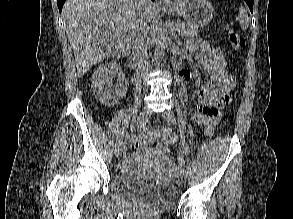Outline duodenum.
<instances>
[{"mask_svg":"<svg viewBox=\"0 0 293 219\" xmlns=\"http://www.w3.org/2000/svg\"><path fill=\"white\" fill-rule=\"evenodd\" d=\"M129 66L132 68H137V66H138V55L136 52H133L132 55L130 56ZM177 71H178V77H179L181 71H179L178 69H177Z\"/></svg>","mask_w":293,"mask_h":219,"instance_id":"410a0bca","label":"duodenum"}]
</instances>
